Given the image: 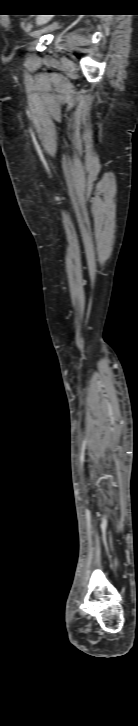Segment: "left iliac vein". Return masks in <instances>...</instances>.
I'll return each mask as SVG.
<instances>
[{
  "label": "left iliac vein",
  "mask_w": 138,
  "mask_h": 726,
  "mask_svg": "<svg viewBox=\"0 0 138 726\" xmlns=\"http://www.w3.org/2000/svg\"><path fill=\"white\" fill-rule=\"evenodd\" d=\"M48 21H49V17L48 16H40V17L37 18V24L38 25H44ZM43 32L44 31H41L40 33H43Z\"/></svg>",
  "instance_id": "obj_1"
}]
</instances>
